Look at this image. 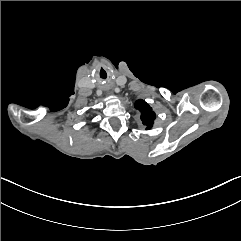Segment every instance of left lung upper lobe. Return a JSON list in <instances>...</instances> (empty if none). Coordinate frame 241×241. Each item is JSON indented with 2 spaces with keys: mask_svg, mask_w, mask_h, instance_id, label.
I'll list each match as a JSON object with an SVG mask.
<instances>
[{
  "mask_svg": "<svg viewBox=\"0 0 241 241\" xmlns=\"http://www.w3.org/2000/svg\"><path fill=\"white\" fill-rule=\"evenodd\" d=\"M135 108L141 112V120L147 129H151L155 120V113L152 108L144 101L137 100L135 103Z\"/></svg>",
  "mask_w": 241,
  "mask_h": 241,
  "instance_id": "obj_1",
  "label": "left lung upper lobe"
}]
</instances>
